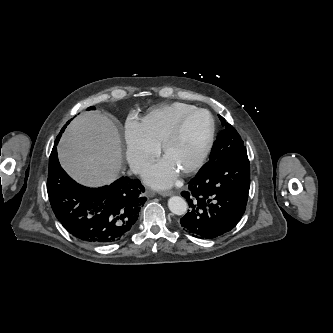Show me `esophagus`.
Here are the masks:
<instances>
[{"mask_svg":"<svg viewBox=\"0 0 333 333\" xmlns=\"http://www.w3.org/2000/svg\"><path fill=\"white\" fill-rule=\"evenodd\" d=\"M173 194H174L173 191H161V192H160V195L163 196V197H167V196H170V195H173ZM147 195H148L149 197H153V196H154V193L149 192Z\"/></svg>","mask_w":333,"mask_h":333,"instance_id":"34e87169","label":"esophagus"}]
</instances>
